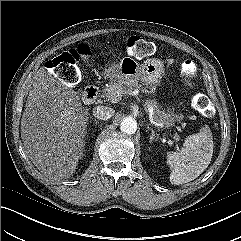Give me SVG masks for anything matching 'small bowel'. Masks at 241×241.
<instances>
[{
	"instance_id": "c3829d8e",
	"label": "small bowel",
	"mask_w": 241,
	"mask_h": 241,
	"mask_svg": "<svg viewBox=\"0 0 241 241\" xmlns=\"http://www.w3.org/2000/svg\"><path fill=\"white\" fill-rule=\"evenodd\" d=\"M89 46L87 44H82L80 47L81 56L85 61H88Z\"/></svg>"
}]
</instances>
